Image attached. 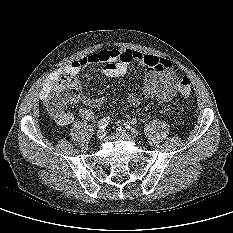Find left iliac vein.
Segmentation results:
<instances>
[{
    "label": "left iliac vein",
    "instance_id": "left-iliac-vein-1",
    "mask_svg": "<svg viewBox=\"0 0 233 233\" xmlns=\"http://www.w3.org/2000/svg\"><path fill=\"white\" fill-rule=\"evenodd\" d=\"M130 133L132 134L133 137H136L138 135V131L134 128L130 130ZM117 134L121 136L122 138H127V132L123 127H118L117 128Z\"/></svg>",
    "mask_w": 233,
    "mask_h": 233
}]
</instances>
